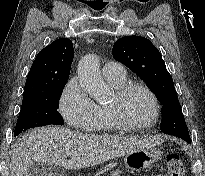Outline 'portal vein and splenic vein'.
Wrapping results in <instances>:
<instances>
[{"mask_svg": "<svg viewBox=\"0 0 205 176\" xmlns=\"http://www.w3.org/2000/svg\"><path fill=\"white\" fill-rule=\"evenodd\" d=\"M73 155V152H66V157H71Z\"/></svg>", "mask_w": 205, "mask_h": 176, "instance_id": "18ae733b", "label": "portal vein and splenic vein"}]
</instances>
